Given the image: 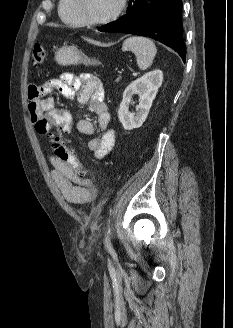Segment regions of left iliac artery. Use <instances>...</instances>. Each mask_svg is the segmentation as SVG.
Wrapping results in <instances>:
<instances>
[{
	"mask_svg": "<svg viewBox=\"0 0 233 328\" xmlns=\"http://www.w3.org/2000/svg\"><path fill=\"white\" fill-rule=\"evenodd\" d=\"M109 234H110V230H108L107 236L105 238V247L110 250L112 248V245H111Z\"/></svg>",
	"mask_w": 233,
	"mask_h": 328,
	"instance_id": "left-iliac-artery-1",
	"label": "left iliac artery"
}]
</instances>
